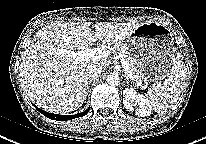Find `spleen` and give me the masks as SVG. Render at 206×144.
I'll return each instance as SVG.
<instances>
[{"label": "spleen", "mask_w": 206, "mask_h": 144, "mask_svg": "<svg viewBox=\"0 0 206 144\" xmlns=\"http://www.w3.org/2000/svg\"><path fill=\"white\" fill-rule=\"evenodd\" d=\"M186 74L182 59L176 56L172 60L170 75L162 85L153 86L146 94V99L157 113H163L179 98Z\"/></svg>", "instance_id": "1"}]
</instances>
